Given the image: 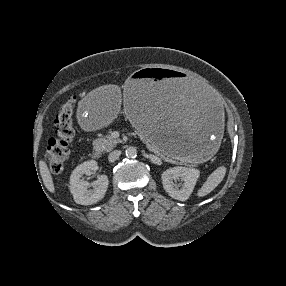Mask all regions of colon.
<instances>
[{
  "mask_svg": "<svg viewBox=\"0 0 286 286\" xmlns=\"http://www.w3.org/2000/svg\"><path fill=\"white\" fill-rule=\"evenodd\" d=\"M75 97L68 98L60 107L55 122V135L49 140L46 160L53 173H60L70 156V144L76 130L73 124Z\"/></svg>",
  "mask_w": 286,
  "mask_h": 286,
  "instance_id": "5ec220e1",
  "label": "colon"
}]
</instances>
